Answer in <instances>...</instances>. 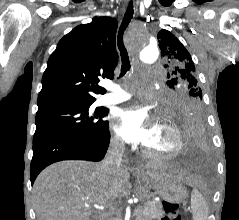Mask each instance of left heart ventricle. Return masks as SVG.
<instances>
[{
    "label": "left heart ventricle",
    "mask_w": 239,
    "mask_h": 220,
    "mask_svg": "<svg viewBox=\"0 0 239 220\" xmlns=\"http://www.w3.org/2000/svg\"><path fill=\"white\" fill-rule=\"evenodd\" d=\"M145 145L154 150L169 151L174 145V137L162 123H156L153 134Z\"/></svg>",
    "instance_id": "obj_1"
}]
</instances>
